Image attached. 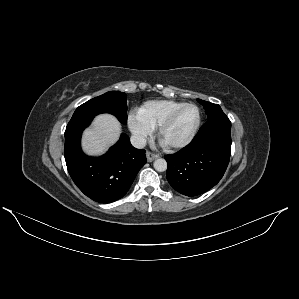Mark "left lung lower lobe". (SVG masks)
I'll return each mask as SVG.
<instances>
[{"instance_id": "0a47b994", "label": "left lung lower lobe", "mask_w": 299, "mask_h": 299, "mask_svg": "<svg viewBox=\"0 0 299 299\" xmlns=\"http://www.w3.org/2000/svg\"><path fill=\"white\" fill-rule=\"evenodd\" d=\"M231 155V122L228 117L209 119L185 148L166 155V177L181 194L196 196L223 177Z\"/></svg>"}]
</instances>
